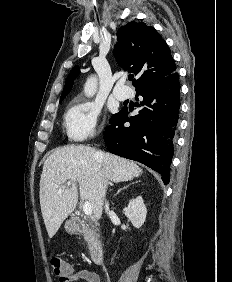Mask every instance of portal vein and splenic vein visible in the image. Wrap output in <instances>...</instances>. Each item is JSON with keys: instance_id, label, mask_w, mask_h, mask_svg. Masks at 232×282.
<instances>
[{"instance_id": "obj_1", "label": "portal vein and splenic vein", "mask_w": 232, "mask_h": 282, "mask_svg": "<svg viewBox=\"0 0 232 282\" xmlns=\"http://www.w3.org/2000/svg\"><path fill=\"white\" fill-rule=\"evenodd\" d=\"M67 185L70 186L71 183L68 182ZM61 191H62V188L59 189L60 193H61ZM83 211H84L85 215H88V216L92 215L93 210H92V206H91L90 202L85 201V203L83 204Z\"/></svg>"}]
</instances>
